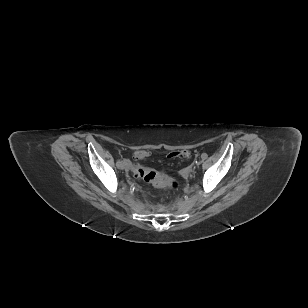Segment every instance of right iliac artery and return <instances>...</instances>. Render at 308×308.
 <instances>
[{"instance_id":"obj_1","label":"right iliac artery","mask_w":308,"mask_h":308,"mask_svg":"<svg viewBox=\"0 0 308 308\" xmlns=\"http://www.w3.org/2000/svg\"><path fill=\"white\" fill-rule=\"evenodd\" d=\"M120 164H121V161L118 160V161L116 162L117 167H118Z\"/></svg>"}]
</instances>
